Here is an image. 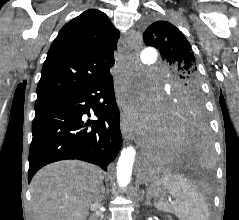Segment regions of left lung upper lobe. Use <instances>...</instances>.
Masks as SVG:
<instances>
[{
    "label": "left lung upper lobe",
    "mask_w": 239,
    "mask_h": 220,
    "mask_svg": "<svg viewBox=\"0 0 239 220\" xmlns=\"http://www.w3.org/2000/svg\"><path fill=\"white\" fill-rule=\"evenodd\" d=\"M143 39L147 46L158 49L163 60L176 71L177 78L170 87L167 106L182 112L192 109L204 112L196 60L181 31L167 21H157L145 30Z\"/></svg>",
    "instance_id": "1"
}]
</instances>
